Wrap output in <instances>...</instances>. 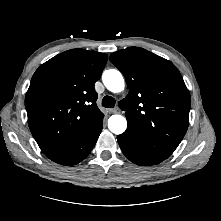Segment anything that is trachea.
<instances>
[{
    "label": "trachea",
    "mask_w": 221,
    "mask_h": 221,
    "mask_svg": "<svg viewBox=\"0 0 221 221\" xmlns=\"http://www.w3.org/2000/svg\"><path fill=\"white\" fill-rule=\"evenodd\" d=\"M102 106L105 108H113L115 106V99L111 96H105L102 99Z\"/></svg>",
    "instance_id": "trachea-1"
}]
</instances>
